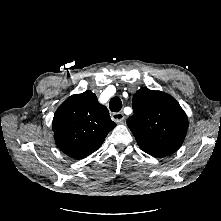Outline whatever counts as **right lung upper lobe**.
I'll return each instance as SVG.
<instances>
[{
    "label": "right lung upper lobe",
    "instance_id": "obj_1",
    "mask_svg": "<svg viewBox=\"0 0 221 221\" xmlns=\"http://www.w3.org/2000/svg\"><path fill=\"white\" fill-rule=\"evenodd\" d=\"M116 124L108 109L91 91L66 99L54 114L53 131L58 148L80 159L95 152Z\"/></svg>",
    "mask_w": 221,
    "mask_h": 221
}]
</instances>
